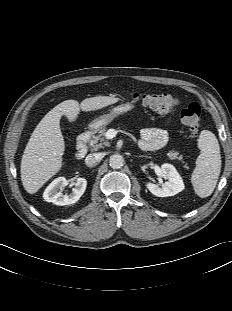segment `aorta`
<instances>
[{"label": "aorta", "mask_w": 232, "mask_h": 311, "mask_svg": "<svg viewBox=\"0 0 232 311\" xmlns=\"http://www.w3.org/2000/svg\"><path fill=\"white\" fill-rule=\"evenodd\" d=\"M109 165L112 168H121L124 165V158L120 154H114L109 159Z\"/></svg>", "instance_id": "1"}]
</instances>
